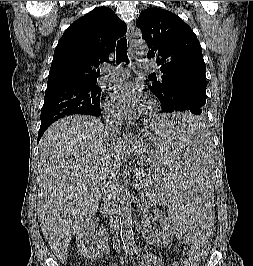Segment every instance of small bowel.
<instances>
[{"instance_id":"small-bowel-1","label":"small bowel","mask_w":253,"mask_h":266,"mask_svg":"<svg viewBox=\"0 0 253 266\" xmlns=\"http://www.w3.org/2000/svg\"><path fill=\"white\" fill-rule=\"evenodd\" d=\"M145 266H165L164 262L153 254H147L144 258ZM117 266V265H111ZM171 266H179L177 262L172 263Z\"/></svg>"}]
</instances>
